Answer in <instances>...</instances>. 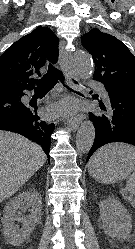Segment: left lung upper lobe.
<instances>
[{
  "mask_svg": "<svg viewBox=\"0 0 135 249\" xmlns=\"http://www.w3.org/2000/svg\"><path fill=\"white\" fill-rule=\"evenodd\" d=\"M82 44L95 62L94 80L106 90L135 96V56L115 36L93 28Z\"/></svg>",
  "mask_w": 135,
  "mask_h": 249,
  "instance_id": "left-lung-upper-lobe-1",
  "label": "left lung upper lobe"
}]
</instances>
